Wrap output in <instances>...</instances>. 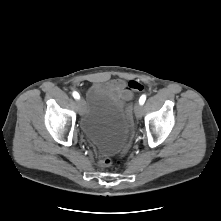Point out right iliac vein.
Instances as JSON below:
<instances>
[{
  "label": "right iliac vein",
  "instance_id": "obj_1",
  "mask_svg": "<svg viewBox=\"0 0 221 221\" xmlns=\"http://www.w3.org/2000/svg\"><path fill=\"white\" fill-rule=\"evenodd\" d=\"M77 104H78V110H79V113H80V115H82L83 112H84V103H83V99H79L78 102H77Z\"/></svg>",
  "mask_w": 221,
  "mask_h": 221
}]
</instances>
